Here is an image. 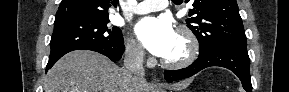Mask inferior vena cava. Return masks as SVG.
Listing matches in <instances>:
<instances>
[{"label": "inferior vena cava", "instance_id": "1", "mask_svg": "<svg viewBox=\"0 0 289 92\" xmlns=\"http://www.w3.org/2000/svg\"><path fill=\"white\" fill-rule=\"evenodd\" d=\"M144 50L140 45H129L125 52L124 67L135 77L143 79L145 70L143 67Z\"/></svg>", "mask_w": 289, "mask_h": 92}]
</instances>
